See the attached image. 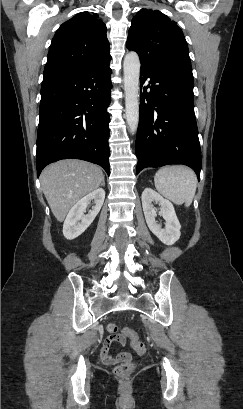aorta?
Instances as JSON below:
<instances>
[{
  "label": "aorta",
  "instance_id": "762f6f07",
  "mask_svg": "<svg viewBox=\"0 0 243 409\" xmlns=\"http://www.w3.org/2000/svg\"><path fill=\"white\" fill-rule=\"evenodd\" d=\"M125 113L130 133L137 131L139 123V76L140 59L136 52L126 54L123 62Z\"/></svg>",
  "mask_w": 243,
  "mask_h": 409
}]
</instances>
